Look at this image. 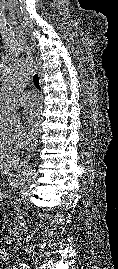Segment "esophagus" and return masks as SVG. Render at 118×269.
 <instances>
[{
    "mask_svg": "<svg viewBox=\"0 0 118 269\" xmlns=\"http://www.w3.org/2000/svg\"><path fill=\"white\" fill-rule=\"evenodd\" d=\"M36 69L40 71L39 65L36 66ZM32 157H33V153H32V154H29V155L25 158L24 162H26V160H27V161L30 160Z\"/></svg>",
    "mask_w": 118,
    "mask_h": 269,
    "instance_id": "1",
    "label": "esophagus"
}]
</instances>
